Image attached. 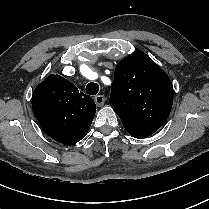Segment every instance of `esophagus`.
Segmentation results:
<instances>
[{
  "instance_id": "34e87169",
  "label": "esophagus",
  "mask_w": 209,
  "mask_h": 209,
  "mask_svg": "<svg viewBox=\"0 0 209 209\" xmlns=\"http://www.w3.org/2000/svg\"><path fill=\"white\" fill-rule=\"evenodd\" d=\"M94 100H95L96 105L98 107H101V106H103L106 98L104 95H97V96H95Z\"/></svg>"
}]
</instances>
